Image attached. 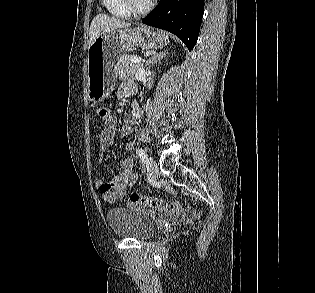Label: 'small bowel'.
Returning a JSON list of instances; mask_svg holds the SVG:
<instances>
[{
  "mask_svg": "<svg viewBox=\"0 0 315 293\" xmlns=\"http://www.w3.org/2000/svg\"><path fill=\"white\" fill-rule=\"evenodd\" d=\"M135 90L136 88L134 83L127 81L120 86L117 96L119 98L129 97L135 93ZM137 119L138 114L134 113L124 121L120 131L122 138L131 133ZM116 124V117L112 114H110L108 119L103 123L99 141V162H102L108 148L114 142ZM127 147L128 149H131L133 147V143L131 141L128 142ZM120 167L121 170L113 176L111 181H96V187L102 200L110 204L121 200L126 195L127 190L135 184L137 179V173L134 171V161L132 157L124 158L120 163ZM153 216L159 220H174V215L171 211H155Z\"/></svg>",
  "mask_w": 315,
  "mask_h": 293,
  "instance_id": "1",
  "label": "small bowel"
}]
</instances>
